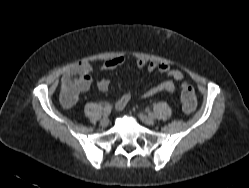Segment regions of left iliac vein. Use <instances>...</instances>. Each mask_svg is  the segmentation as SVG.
<instances>
[{
	"label": "left iliac vein",
	"instance_id": "1",
	"mask_svg": "<svg viewBox=\"0 0 249 188\" xmlns=\"http://www.w3.org/2000/svg\"><path fill=\"white\" fill-rule=\"evenodd\" d=\"M138 116L141 119V121L143 123H145L146 125H154L155 124V120L147 115L140 113Z\"/></svg>",
	"mask_w": 249,
	"mask_h": 188
}]
</instances>
